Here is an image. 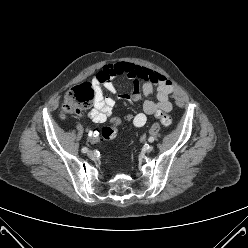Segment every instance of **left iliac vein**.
I'll return each instance as SVG.
<instances>
[{"label":"left iliac vein","instance_id":"4c4485c4","mask_svg":"<svg viewBox=\"0 0 248 248\" xmlns=\"http://www.w3.org/2000/svg\"><path fill=\"white\" fill-rule=\"evenodd\" d=\"M145 151H146L147 153L152 152V151H153V146H152V145L147 146V147L145 148Z\"/></svg>","mask_w":248,"mask_h":248}]
</instances>
